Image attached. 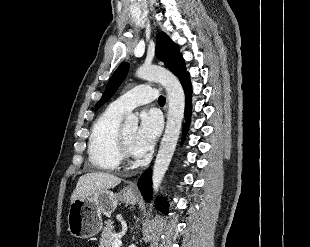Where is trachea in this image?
I'll return each instance as SVG.
<instances>
[{"label": "trachea", "mask_w": 310, "mask_h": 247, "mask_svg": "<svg viewBox=\"0 0 310 247\" xmlns=\"http://www.w3.org/2000/svg\"><path fill=\"white\" fill-rule=\"evenodd\" d=\"M165 102H166L165 97H164V96H160L159 99H158V103H159L160 105H164Z\"/></svg>", "instance_id": "obj_1"}]
</instances>
